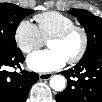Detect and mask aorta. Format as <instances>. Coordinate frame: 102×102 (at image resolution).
Listing matches in <instances>:
<instances>
[{"mask_svg": "<svg viewBox=\"0 0 102 102\" xmlns=\"http://www.w3.org/2000/svg\"><path fill=\"white\" fill-rule=\"evenodd\" d=\"M50 86L55 91H62L65 88V78L62 75H55L50 79Z\"/></svg>", "mask_w": 102, "mask_h": 102, "instance_id": "aorta-1", "label": "aorta"}]
</instances>
